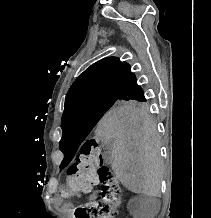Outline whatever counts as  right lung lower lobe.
I'll return each instance as SVG.
<instances>
[{
  "instance_id": "obj_1",
  "label": "right lung lower lobe",
  "mask_w": 211,
  "mask_h": 218,
  "mask_svg": "<svg viewBox=\"0 0 211 218\" xmlns=\"http://www.w3.org/2000/svg\"><path fill=\"white\" fill-rule=\"evenodd\" d=\"M121 96L127 98H145L142 88L137 84L136 78L126 86Z\"/></svg>"
}]
</instances>
